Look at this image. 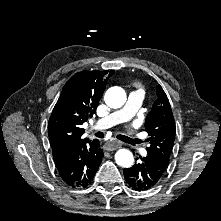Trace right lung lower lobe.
Returning <instances> with one entry per match:
<instances>
[{"label":"right lung lower lobe","instance_id":"1","mask_svg":"<svg viewBox=\"0 0 221 221\" xmlns=\"http://www.w3.org/2000/svg\"><path fill=\"white\" fill-rule=\"evenodd\" d=\"M103 158L99 141L86 140L55 160L61 179L70 187L86 188L91 184Z\"/></svg>","mask_w":221,"mask_h":221}]
</instances>
